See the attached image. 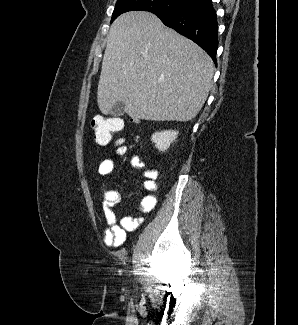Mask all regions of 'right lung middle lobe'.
I'll use <instances>...</instances> for the list:
<instances>
[{
  "instance_id": "obj_1",
  "label": "right lung middle lobe",
  "mask_w": 298,
  "mask_h": 325,
  "mask_svg": "<svg viewBox=\"0 0 298 325\" xmlns=\"http://www.w3.org/2000/svg\"><path fill=\"white\" fill-rule=\"evenodd\" d=\"M193 0H118L112 14L111 23L122 13L133 10L152 13L171 12L188 5Z\"/></svg>"
}]
</instances>
